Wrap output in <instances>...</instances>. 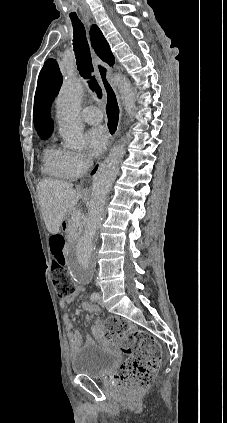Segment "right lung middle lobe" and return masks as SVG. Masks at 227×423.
Instances as JSON below:
<instances>
[{"label":"right lung middle lobe","instance_id":"1","mask_svg":"<svg viewBox=\"0 0 227 423\" xmlns=\"http://www.w3.org/2000/svg\"><path fill=\"white\" fill-rule=\"evenodd\" d=\"M48 136H43L42 138H47Z\"/></svg>","mask_w":227,"mask_h":423}]
</instances>
